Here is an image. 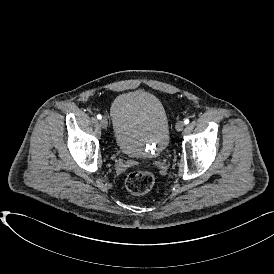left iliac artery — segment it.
Instances as JSON below:
<instances>
[{
    "label": "left iliac artery",
    "instance_id": "obj_1",
    "mask_svg": "<svg viewBox=\"0 0 274 274\" xmlns=\"http://www.w3.org/2000/svg\"><path fill=\"white\" fill-rule=\"evenodd\" d=\"M184 123L187 125L189 123V119H185Z\"/></svg>",
    "mask_w": 274,
    "mask_h": 274
}]
</instances>
